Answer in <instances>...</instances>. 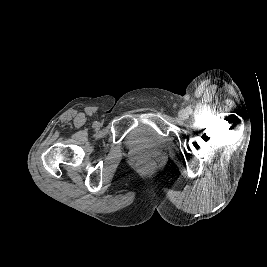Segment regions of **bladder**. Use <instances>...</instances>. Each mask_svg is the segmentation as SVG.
<instances>
[{
	"mask_svg": "<svg viewBox=\"0 0 267 267\" xmlns=\"http://www.w3.org/2000/svg\"><path fill=\"white\" fill-rule=\"evenodd\" d=\"M154 138L146 131L141 128H137L130 132L127 137L126 144L128 146H135L142 143H153Z\"/></svg>",
	"mask_w": 267,
	"mask_h": 267,
	"instance_id": "obj_1",
	"label": "bladder"
}]
</instances>
